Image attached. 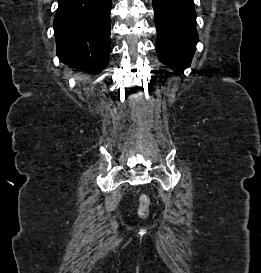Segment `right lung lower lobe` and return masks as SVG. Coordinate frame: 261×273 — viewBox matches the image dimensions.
I'll return each mask as SVG.
<instances>
[{
    "label": "right lung lower lobe",
    "instance_id": "98d812e1",
    "mask_svg": "<svg viewBox=\"0 0 261 273\" xmlns=\"http://www.w3.org/2000/svg\"><path fill=\"white\" fill-rule=\"evenodd\" d=\"M111 0H58L54 18L61 62L101 72L110 54Z\"/></svg>",
    "mask_w": 261,
    "mask_h": 273
}]
</instances>
